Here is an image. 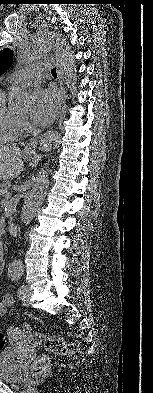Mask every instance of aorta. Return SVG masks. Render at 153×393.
I'll return each mask as SVG.
<instances>
[{
  "label": "aorta",
  "mask_w": 153,
  "mask_h": 393,
  "mask_svg": "<svg viewBox=\"0 0 153 393\" xmlns=\"http://www.w3.org/2000/svg\"><path fill=\"white\" fill-rule=\"evenodd\" d=\"M50 52H54L56 64L61 79L67 84L71 92H75L77 75L75 59L70 46L58 33L52 31H39L29 35L22 43L18 52V59L21 65L29 64L45 57ZM32 106V96L26 89H10L8 96V108L13 112H20L30 109ZM60 142L58 133L49 132L39 141L43 150L53 148ZM47 177L40 174L32 189L26 196L22 207L21 223L28 224L36 215L42 205L47 189ZM22 272V264L19 260L10 262V274L18 276Z\"/></svg>",
  "instance_id": "762f6f07"
}]
</instances>
